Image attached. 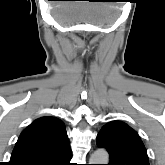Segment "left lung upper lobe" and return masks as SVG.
<instances>
[{"label": "left lung upper lobe", "mask_w": 165, "mask_h": 165, "mask_svg": "<svg viewBox=\"0 0 165 165\" xmlns=\"http://www.w3.org/2000/svg\"><path fill=\"white\" fill-rule=\"evenodd\" d=\"M97 145L108 150V165H149L139 135L123 122L112 121L104 125L97 135Z\"/></svg>", "instance_id": "1"}]
</instances>
